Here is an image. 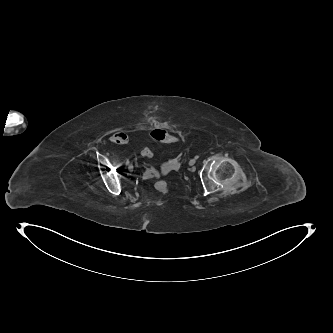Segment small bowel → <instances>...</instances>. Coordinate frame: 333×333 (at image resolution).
<instances>
[{
  "label": "small bowel",
  "mask_w": 333,
  "mask_h": 333,
  "mask_svg": "<svg viewBox=\"0 0 333 333\" xmlns=\"http://www.w3.org/2000/svg\"><path fill=\"white\" fill-rule=\"evenodd\" d=\"M152 132L150 134V137L152 135ZM126 138H127V136H126V134L124 132L117 131V132H115V133L112 134V136H111L110 139H111L112 142L121 144V143H124L126 141ZM151 140H152V137H151ZM144 177L145 178H149L150 177V175L148 174V172L145 173Z\"/></svg>",
  "instance_id": "1"
}]
</instances>
